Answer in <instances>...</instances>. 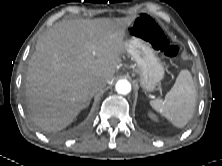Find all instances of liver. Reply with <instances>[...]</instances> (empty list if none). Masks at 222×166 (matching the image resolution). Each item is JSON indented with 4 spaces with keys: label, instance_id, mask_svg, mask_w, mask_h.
Returning a JSON list of instances; mask_svg holds the SVG:
<instances>
[{
    "label": "liver",
    "instance_id": "1",
    "mask_svg": "<svg viewBox=\"0 0 222 166\" xmlns=\"http://www.w3.org/2000/svg\"><path fill=\"white\" fill-rule=\"evenodd\" d=\"M133 21H62L39 38L26 77L28 108L38 127L63 130L88 106L93 83L114 76L126 51V28Z\"/></svg>",
    "mask_w": 222,
    "mask_h": 166
}]
</instances>
